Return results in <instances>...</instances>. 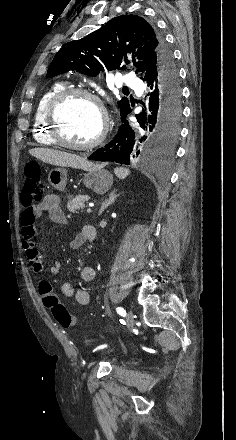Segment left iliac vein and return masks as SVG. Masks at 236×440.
<instances>
[{
  "mask_svg": "<svg viewBox=\"0 0 236 440\" xmlns=\"http://www.w3.org/2000/svg\"><path fill=\"white\" fill-rule=\"evenodd\" d=\"M126 319H127V322H128L129 329H131L133 327V325H134V317H133V313H132L131 310H129L127 312Z\"/></svg>",
  "mask_w": 236,
  "mask_h": 440,
  "instance_id": "1",
  "label": "left iliac vein"
}]
</instances>
